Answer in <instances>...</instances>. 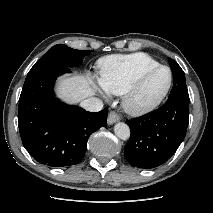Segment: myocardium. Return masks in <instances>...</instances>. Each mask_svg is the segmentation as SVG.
Listing matches in <instances>:
<instances>
[{"instance_id":"obj_1","label":"myocardium","mask_w":213,"mask_h":213,"mask_svg":"<svg viewBox=\"0 0 213 213\" xmlns=\"http://www.w3.org/2000/svg\"><path fill=\"white\" fill-rule=\"evenodd\" d=\"M161 69H165L169 73V80L166 87L156 97L148 101L139 102L137 98L143 85L152 74H154L155 72ZM172 84H173V72L170 67L166 65H160V64L155 67H152L146 70L145 72H143L123 94V99H122L123 108L125 109L127 113L134 116H140V115L146 114L154 110L156 107H158L162 103V101L168 95L172 87Z\"/></svg>"}]
</instances>
